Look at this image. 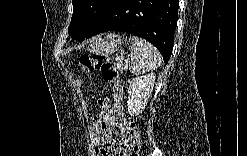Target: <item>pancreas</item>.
<instances>
[{"instance_id":"pancreas-1","label":"pancreas","mask_w":247,"mask_h":156,"mask_svg":"<svg viewBox=\"0 0 247 156\" xmlns=\"http://www.w3.org/2000/svg\"><path fill=\"white\" fill-rule=\"evenodd\" d=\"M118 63H121V60H118Z\"/></svg>"}]
</instances>
